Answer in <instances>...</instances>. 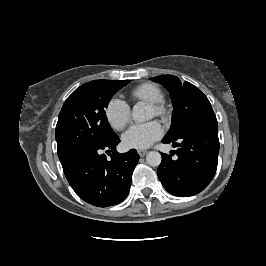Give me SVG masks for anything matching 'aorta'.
Listing matches in <instances>:
<instances>
[{"label":"aorta","mask_w":266,"mask_h":266,"mask_svg":"<svg viewBox=\"0 0 266 266\" xmlns=\"http://www.w3.org/2000/svg\"><path fill=\"white\" fill-rule=\"evenodd\" d=\"M132 118L135 122L142 123L150 118L147 107L144 103L138 102L133 106L132 109ZM162 157L159 152L151 151L146 156V162L150 166H159L161 163Z\"/></svg>","instance_id":"1"}]
</instances>
